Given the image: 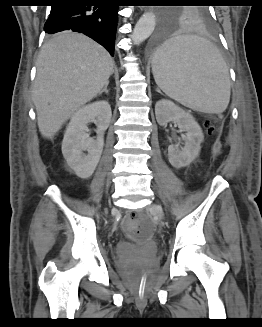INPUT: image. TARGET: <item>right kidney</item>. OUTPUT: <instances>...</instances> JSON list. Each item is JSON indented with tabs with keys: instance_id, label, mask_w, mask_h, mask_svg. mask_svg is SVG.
<instances>
[{
	"instance_id": "obj_1",
	"label": "right kidney",
	"mask_w": 262,
	"mask_h": 327,
	"mask_svg": "<svg viewBox=\"0 0 262 327\" xmlns=\"http://www.w3.org/2000/svg\"><path fill=\"white\" fill-rule=\"evenodd\" d=\"M111 107L107 101H96L78 109L71 117L63 142L62 153L68 165L77 176L89 178L99 160L104 146V132L111 121ZM95 122L97 139H89L86 135L87 125ZM83 151H87L85 155Z\"/></svg>"
}]
</instances>
